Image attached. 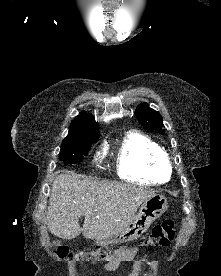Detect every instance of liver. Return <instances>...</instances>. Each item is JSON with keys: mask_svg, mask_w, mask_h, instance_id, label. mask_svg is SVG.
<instances>
[{"mask_svg": "<svg viewBox=\"0 0 221 276\" xmlns=\"http://www.w3.org/2000/svg\"><path fill=\"white\" fill-rule=\"evenodd\" d=\"M154 195L152 190L130 184L61 173L52 184L47 226L63 239H73L81 232L87 239H108L124 230L139 206ZM81 216H85L83 228L79 225Z\"/></svg>", "mask_w": 221, "mask_h": 276, "instance_id": "obj_1", "label": "liver"}]
</instances>
